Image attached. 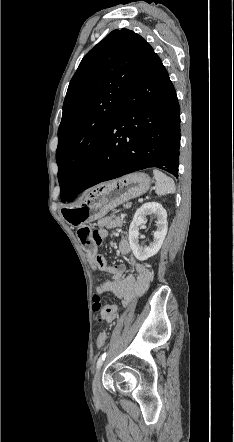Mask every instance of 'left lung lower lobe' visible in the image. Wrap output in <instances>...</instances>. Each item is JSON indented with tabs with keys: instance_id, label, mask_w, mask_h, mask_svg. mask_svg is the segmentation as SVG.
<instances>
[{
	"instance_id": "obj_1",
	"label": "left lung lower lobe",
	"mask_w": 234,
	"mask_h": 442,
	"mask_svg": "<svg viewBox=\"0 0 234 442\" xmlns=\"http://www.w3.org/2000/svg\"><path fill=\"white\" fill-rule=\"evenodd\" d=\"M179 147L178 99L165 67L154 53L124 95L87 178L70 201L102 181L149 167L178 177Z\"/></svg>"
}]
</instances>
